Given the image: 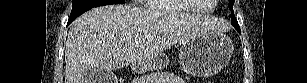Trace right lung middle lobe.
I'll use <instances>...</instances> for the list:
<instances>
[{
  "mask_svg": "<svg viewBox=\"0 0 307 83\" xmlns=\"http://www.w3.org/2000/svg\"><path fill=\"white\" fill-rule=\"evenodd\" d=\"M125 0H72V11L68 21V25L78 16L93 7L122 4Z\"/></svg>",
  "mask_w": 307,
  "mask_h": 83,
  "instance_id": "dd1d6c3e",
  "label": "right lung middle lobe"
}]
</instances>
